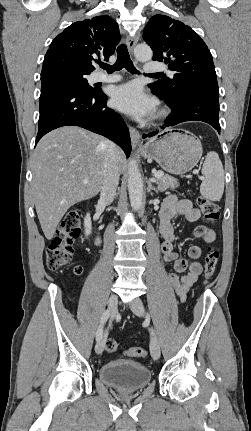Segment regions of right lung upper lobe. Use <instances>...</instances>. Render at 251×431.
Returning <instances> with one entry per match:
<instances>
[{
	"label": "right lung upper lobe",
	"instance_id": "obj_1",
	"mask_svg": "<svg viewBox=\"0 0 251 431\" xmlns=\"http://www.w3.org/2000/svg\"><path fill=\"white\" fill-rule=\"evenodd\" d=\"M119 40L118 24L107 15L75 22L52 41L43 68L52 62L67 61L92 72L95 58L108 60Z\"/></svg>",
	"mask_w": 251,
	"mask_h": 431
}]
</instances>
